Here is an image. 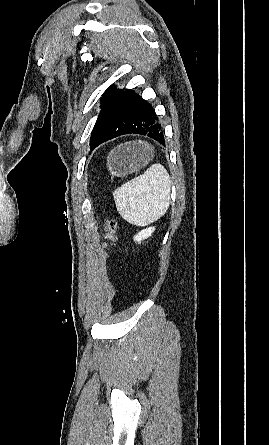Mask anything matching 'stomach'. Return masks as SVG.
<instances>
[{
  "mask_svg": "<svg viewBox=\"0 0 269 445\" xmlns=\"http://www.w3.org/2000/svg\"><path fill=\"white\" fill-rule=\"evenodd\" d=\"M153 147L132 142L114 148L107 157V167L114 176L123 177L145 166L153 156Z\"/></svg>",
  "mask_w": 269,
  "mask_h": 445,
  "instance_id": "obj_1",
  "label": "stomach"
}]
</instances>
